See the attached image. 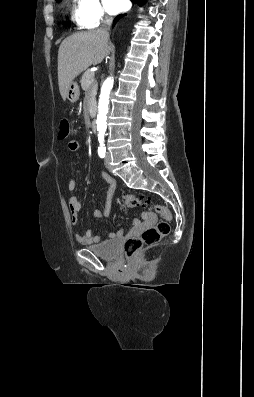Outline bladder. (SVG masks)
<instances>
[{
    "instance_id": "1",
    "label": "bladder",
    "mask_w": 254,
    "mask_h": 397,
    "mask_svg": "<svg viewBox=\"0 0 254 397\" xmlns=\"http://www.w3.org/2000/svg\"><path fill=\"white\" fill-rule=\"evenodd\" d=\"M87 248L103 259L112 260L119 254L120 241L119 239L108 240L97 245H90Z\"/></svg>"
}]
</instances>
